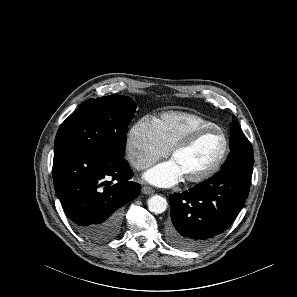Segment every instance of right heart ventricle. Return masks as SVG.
I'll list each match as a JSON object with an SVG mask.
<instances>
[{"mask_svg": "<svg viewBox=\"0 0 297 297\" xmlns=\"http://www.w3.org/2000/svg\"><path fill=\"white\" fill-rule=\"evenodd\" d=\"M152 122L159 142L167 150L194 129L216 126L200 115L183 111L165 112Z\"/></svg>", "mask_w": 297, "mask_h": 297, "instance_id": "right-heart-ventricle-1", "label": "right heart ventricle"}]
</instances>
